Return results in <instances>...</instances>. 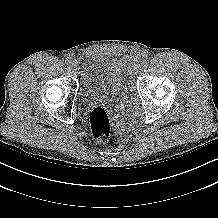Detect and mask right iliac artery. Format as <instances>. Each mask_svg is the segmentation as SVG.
<instances>
[{
    "instance_id": "right-iliac-artery-1",
    "label": "right iliac artery",
    "mask_w": 218,
    "mask_h": 218,
    "mask_svg": "<svg viewBox=\"0 0 218 218\" xmlns=\"http://www.w3.org/2000/svg\"><path fill=\"white\" fill-rule=\"evenodd\" d=\"M65 62H66L67 64H71V63H72V57H67V58L65 59Z\"/></svg>"
}]
</instances>
